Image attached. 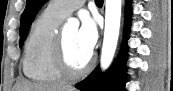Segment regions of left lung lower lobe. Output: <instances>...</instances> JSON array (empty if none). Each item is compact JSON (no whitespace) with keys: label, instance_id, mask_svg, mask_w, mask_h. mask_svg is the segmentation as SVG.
<instances>
[{"label":"left lung lower lobe","instance_id":"0a47b994","mask_svg":"<svg viewBox=\"0 0 173 91\" xmlns=\"http://www.w3.org/2000/svg\"><path fill=\"white\" fill-rule=\"evenodd\" d=\"M130 8L129 1H127L126 9V25L124 32V42L121 53L114 67L102 74L99 67H96L94 71L86 77L82 82L78 83L76 87L83 91H125L124 88V77L127 61V39L130 28Z\"/></svg>","mask_w":173,"mask_h":91}]
</instances>
